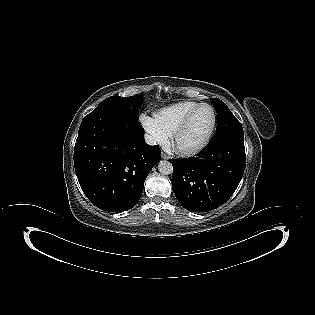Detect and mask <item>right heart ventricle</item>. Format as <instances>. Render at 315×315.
<instances>
[{
	"label": "right heart ventricle",
	"mask_w": 315,
	"mask_h": 315,
	"mask_svg": "<svg viewBox=\"0 0 315 315\" xmlns=\"http://www.w3.org/2000/svg\"><path fill=\"white\" fill-rule=\"evenodd\" d=\"M198 104L199 102L191 100L180 101L160 109L154 117L164 131L172 135L183 118Z\"/></svg>",
	"instance_id": "right-heart-ventricle-1"
}]
</instances>
